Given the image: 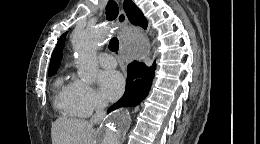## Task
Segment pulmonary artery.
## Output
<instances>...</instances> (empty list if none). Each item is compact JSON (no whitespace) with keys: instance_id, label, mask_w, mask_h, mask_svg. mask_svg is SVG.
<instances>
[{"instance_id":"1","label":"pulmonary artery","mask_w":260,"mask_h":144,"mask_svg":"<svg viewBox=\"0 0 260 144\" xmlns=\"http://www.w3.org/2000/svg\"><path fill=\"white\" fill-rule=\"evenodd\" d=\"M99 62L100 65L105 69H112L117 65L115 58L108 53H101L99 55Z\"/></svg>"}]
</instances>
